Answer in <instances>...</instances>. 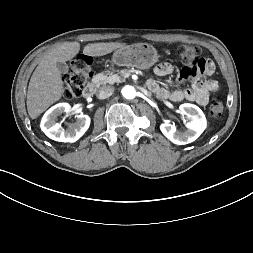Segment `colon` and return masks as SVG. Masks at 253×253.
I'll use <instances>...</instances> for the list:
<instances>
[{
    "mask_svg": "<svg viewBox=\"0 0 253 253\" xmlns=\"http://www.w3.org/2000/svg\"><path fill=\"white\" fill-rule=\"evenodd\" d=\"M200 48L194 45H183L178 49V57L183 65L199 56ZM92 76V62L88 56L80 55L70 64V71L63 80V96L72 100L80 96L84 87ZM224 103L213 98L209 103V112L212 117H221L224 113Z\"/></svg>",
    "mask_w": 253,
    "mask_h": 253,
    "instance_id": "obj_1",
    "label": "colon"
}]
</instances>
